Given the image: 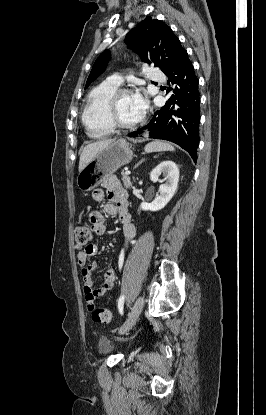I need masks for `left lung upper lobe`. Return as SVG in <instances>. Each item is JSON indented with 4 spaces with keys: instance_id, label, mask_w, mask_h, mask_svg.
I'll list each match as a JSON object with an SVG mask.
<instances>
[{
    "instance_id": "5c2ea615",
    "label": "left lung upper lobe",
    "mask_w": 266,
    "mask_h": 415,
    "mask_svg": "<svg viewBox=\"0 0 266 415\" xmlns=\"http://www.w3.org/2000/svg\"><path fill=\"white\" fill-rule=\"evenodd\" d=\"M126 44L137 52L144 62L151 63L147 57L150 53L155 66L160 67L166 75L177 67L187 53L172 29L151 17L145 18L127 34ZM109 55V51L106 50L95 61L85 89L105 70Z\"/></svg>"
}]
</instances>
